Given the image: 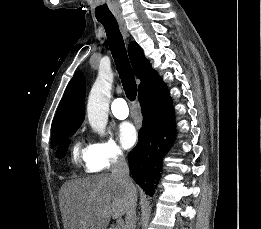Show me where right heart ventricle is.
<instances>
[{"instance_id": "right-heart-ventricle-1", "label": "right heart ventricle", "mask_w": 261, "mask_h": 229, "mask_svg": "<svg viewBox=\"0 0 261 229\" xmlns=\"http://www.w3.org/2000/svg\"><path fill=\"white\" fill-rule=\"evenodd\" d=\"M73 160L75 163H81V161H87L89 155V147H81L79 145L73 148Z\"/></svg>"}]
</instances>
